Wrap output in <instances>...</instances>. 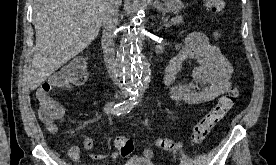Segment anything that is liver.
<instances>
[{
    "instance_id": "liver-1",
    "label": "liver",
    "mask_w": 276,
    "mask_h": 165,
    "mask_svg": "<svg viewBox=\"0 0 276 165\" xmlns=\"http://www.w3.org/2000/svg\"><path fill=\"white\" fill-rule=\"evenodd\" d=\"M105 0H36L35 54L28 74L31 90L82 52L97 37ZM121 0H119V4Z\"/></svg>"
}]
</instances>
